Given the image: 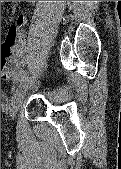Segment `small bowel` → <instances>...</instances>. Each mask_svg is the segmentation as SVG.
Wrapping results in <instances>:
<instances>
[{
    "label": "small bowel",
    "mask_w": 121,
    "mask_h": 169,
    "mask_svg": "<svg viewBox=\"0 0 121 169\" xmlns=\"http://www.w3.org/2000/svg\"><path fill=\"white\" fill-rule=\"evenodd\" d=\"M9 2L22 1H1V3ZM25 24L26 17L18 16L17 24L8 29L5 41L1 46V77L6 81L19 79L24 73L23 67L27 64L26 41L23 33Z\"/></svg>",
    "instance_id": "1"
}]
</instances>
